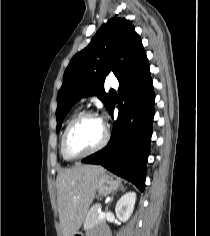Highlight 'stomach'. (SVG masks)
I'll use <instances>...</instances> for the list:
<instances>
[{
  "label": "stomach",
  "instance_id": "1",
  "mask_svg": "<svg viewBox=\"0 0 210 236\" xmlns=\"http://www.w3.org/2000/svg\"><path fill=\"white\" fill-rule=\"evenodd\" d=\"M121 187V182L119 179L110 174H101L97 180V193L99 196H106ZM80 236V233H76Z\"/></svg>",
  "mask_w": 210,
  "mask_h": 236
}]
</instances>
